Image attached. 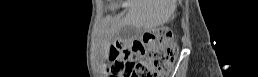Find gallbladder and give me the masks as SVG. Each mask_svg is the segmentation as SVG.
I'll use <instances>...</instances> for the list:
<instances>
[{
	"mask_svg": "<svg viewBox=\"0 0 258 77\" xmlns=\"http://www.w3.org/2000/svg\"><path fill=\"white\" fill-rule=\"evenodd\" d=\"M136 34V28L132 25H126L122 27L120 36L124 40H130L133 39Z\"/></svg>",
	"mask_w": 258,
	"mask_h": 77,
	"instance_id": "1",
	"label": "gallbladder"
}]
</instances>
